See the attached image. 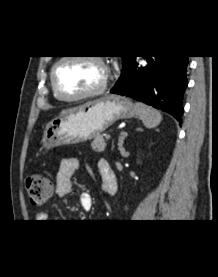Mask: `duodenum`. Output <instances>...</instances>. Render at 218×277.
<instances>
[{
  "label": "duodenum",
  "instance_id": "410a0bca",
  "mask_svg": "<svg viewBox=\"0 0 218 277\" xmlns=\"http://www.w3.org/2000/svg\"><path fill=\"white\" fill-rule=\"evenodd\" d=\"M99 169H100V174L102 176L103 182L105 184L115 183L114 191L111 193H106V194H108V195L114 194L116 191V180H115V175L113 174L110 165L106 161H102L100 163Z\"/></svg>",
  "mask_w": 218,
  "mask_h": 277
}]
</instances>
